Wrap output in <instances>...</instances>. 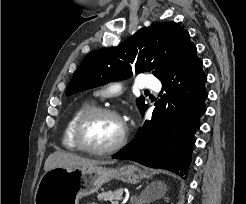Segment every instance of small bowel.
<instances>
[{
	"instance_id": "c3829d8e",
	"label": "small bowel",
	"mask_w": 246,
	"mask_h": 204,
	"mask_svg": "<svg viewBox=\"0 0 246 204\" xmlns=\"http://www.w3.org/2000/svg\"><path fill=\"white\" fill-rule=\"evenodd\" d=\"M88 204H98V203H88Z\"/></svg>"
}]
</instances>
